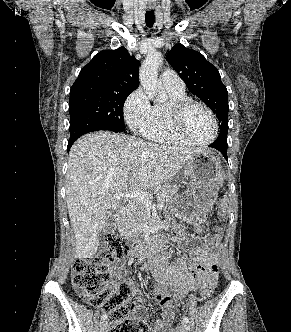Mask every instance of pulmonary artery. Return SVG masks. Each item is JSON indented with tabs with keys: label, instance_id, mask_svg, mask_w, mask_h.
Returning a JSON list of instances; mask_svg holds the SVG:
<instances>
[{
	"label": "pulmonary artery",
	"instance_id": "1",
	"mask_svg": "<svg viewBox=\"0 0 291 332\" xmlns=\"http://www.w3.org/2000/svg\"><path fill=\"white\" fill-rule=\"evenodd\" d=\"M161 80L166 90L173 92H184L185 90L183 80L173 70L163 71Z\"/></svg>",
	"mask_w": 291,
	"mask_h": 332
}]
</instances>
